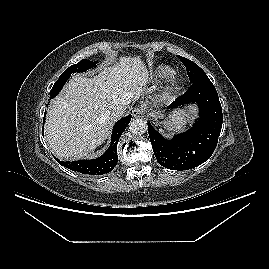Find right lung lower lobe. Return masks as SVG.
<instances>
[{
    "label": "right lung lower lobe",
    "instance_id": "right-lung-lower-lobe-1",
    "mask_svg": "<svg viewBox=\"0 0 269 269\" xmlns=\"http://www.w3.org/2000/svg\"><path fill=\"white\" fill-rule=\"evenodd\" d=\"M70 76L59 78L50 91V99L54 98L63 88ZM131 115L120 119L113 128L111 144L107 151L99 158L92 160H79L72 162H64L56 159L62 166H65L72 171L80 172L87 175H102L110 172L118 162L117 144L121 134L131 120Z\"/></svg>",
    "mask_w": 269,
    "mask_h": 269
}]
</instances>
